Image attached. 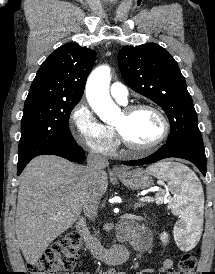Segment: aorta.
<instances>
[{"instance_id": "762f6f07", "label": "aorta", "mask_w": 215, "mask_h": 274, "mask_svg": "<svg viewBox=\"0 0 215 274\" xmlns=\"http://www.w3.org/2000/svg\"><path fill=\"white\" fill-rule=\"evenodd\" d=\"M110 68L99 66L89 76L86 84V97L93 111L104 122L115 119L120 108L113 102L109 94Z\"/></svg>"}]
</instances>
